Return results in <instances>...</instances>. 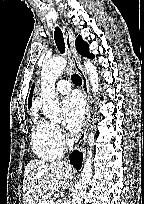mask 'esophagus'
<instances>
[{"mask_svg":"<svg viewBox=\"0 0 144 204\" xmlns=\"http://www.w3.org/2000/svg\"><path fill=\"white\" fill-rule=\"evenodd\" d=\"M64 31H65V45L67 52L71 58L72 65L76 72L79 74L82 80V91L86 99V116L83 123V128L81 131V134L79 135V141L77 148L79 151H83L85 147V143L87 140V132H88V125H89V119H90V93H89V83L88 78L82 68L79 54L75 48L74 43V34L72 30L64 25Z\"/></svg>","mask_w":144,"mask_h":204,"instance_id":"1","label":"esophagus"}]
</instances>
